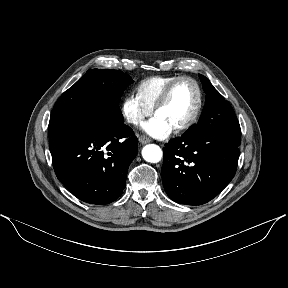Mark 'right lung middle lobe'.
<instances>
[{
	"label": "right lung middle lobe",
	"mask_w": 288,
	"mask_h": 288,
	"mask_svg": "<svg viewBox=\"0 0 288 288\" xmlns=\"http://www.w3.org/2000/svg\"><path fill=\"white\" fill-rule=\"evenodd\" d=\"M133 81L121 71L90 69L55 103L50 123L74 110L88 107L95 110L111 124L124 123L119 101L125 88Z\"/></svg>",
	"instance_id": "1"
}]
</instances>
